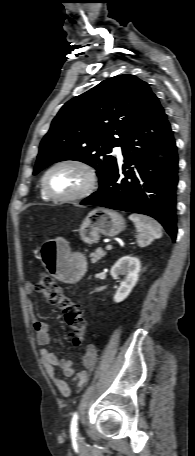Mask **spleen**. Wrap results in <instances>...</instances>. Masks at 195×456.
Wrapping results in <instances>:
<instances>
[{"mask_svg":"<svg viewBox=\"0 0 195 456\" xmlns=\"http://www.w3.org/2000/svg\"><path fill=\"white\" fill-rule=\"evenodd\" d=\"M129 219L135 224L138 232L137 243L140 247H145L154 239L162 237L161 226L154 219L138 214L129 215Z\"/></svg>","mask_w":195,"mask_h":456,"instance_id":"obj_1","label":"spleen"}]
</instances>
